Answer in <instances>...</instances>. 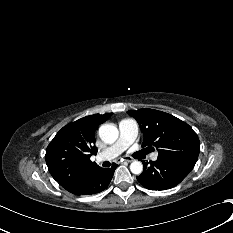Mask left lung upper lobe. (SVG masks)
<instances>
[{"mask_svg":"<svg viewBox=\"0 0 233 233\" xmlns=\"http://www.w3.org/2000/svg\"><path fill=\"white\" fill-rule=\"evenodd\" d=\"M135 118L144 135L142 147L158 148V159L189 173L200 152L193 129L175 116L148 108L127 112ZM153 148V147H151Z\"/></svg>","mask_w":233,"mask_h":233,"instance_id":"5c2ea615","label":"left lung upper lobe"}]
</instances>
